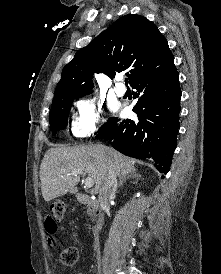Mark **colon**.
<instances>
[{"label": "colon", "mask_w": 221, "mask_h": 274, "mask_svg": "<svg viewBox=\"0 0 221 274\" xmlns=\"http://www.w3.org/2000/svg\"><path fill=\"white\" fill-rule=\"evenodd\" d=\"M51 217L56 223L60 222L66 213L65 203L62 201H56L51 205ZM78 252L73 247L65 248L60 253V260L64 265L72 266L77 262Z\"/></svg>", "instance_id": "obj_1"}]
</instances>
